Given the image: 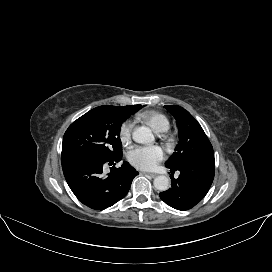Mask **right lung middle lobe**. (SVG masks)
I'll use <instances>...</instances> for the list:
<instances>
[{"label":"right lung middle lobe","mask_w":272,"mask_h":272,"mask_svg":"<svg viewBox=\"0 0 272 272\" xmlns=\"http://www.w3.org/2000/svg\"><path fill=\"white\" fill-rule=\"evenodd\" d=\"M133 111L118 106H99L90 110L65 132L62 153L86 152L102 159L121 157L120 128Z\"/></svg>","instance_id":"dd1d6c3e"}]
</instances>
